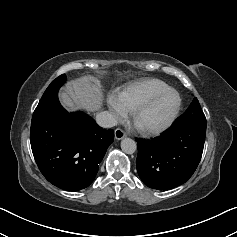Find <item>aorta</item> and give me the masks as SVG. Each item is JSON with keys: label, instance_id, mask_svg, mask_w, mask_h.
I'll use <instances>...</instances> for the list:
<instances>
[{"label": "aorta", "instance_id": "obj_1", "mask_svg": "<svg viewBox=\"0 0 237 237\" xmlns=\"http://www.w3.org/2000/svg\"><path fill=\"white\" fill-rule=\"evenodd\" d=\"M121 149L126 154H133L137 149L136 142L131 138H124L121 141Z\"/></svg>", "mask_w": 237, "mask_h": 237}]
</instances>
